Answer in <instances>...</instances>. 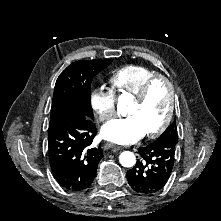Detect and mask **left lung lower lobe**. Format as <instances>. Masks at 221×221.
I'll use <instances>...</instances> for the list:
<instances>
[{
	"mask_svg": "<svg viewBox=\"0 0 221 221\" xmlns=\"http://www.w3.org/2000/svg\"><path fill=\"white\" fill-rule=\"evenodd\" d=\"M177 141L158 138L153 143L139 148L136 165L127 171L131 188L140 194H153L167 183L175 161Z\"/></svg>",
	"mask_w": 221,
	"mask_h": 221,
	"instance_id": "left-lung-lower-lobe-1",
	"label": "left lung lower lobe"
}]
</instances>
